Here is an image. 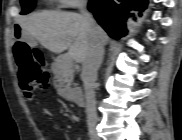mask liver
<instances>
[{
	"label": "liver",
	"instance_id": "obj_1",
	"mask_svg": "<svg viewBox=\"0 0 182 140\" xmlns=\"http://www.w3.org/2000/svg\"><path fill=\"white\" fill-rule=\"evenodd\" d=\"M23 40L36 39L53 53L68 54L81 63L90 50V32L78 13L42 11L33 13L19 21ZM95 35L102 43L109 41L107 33L94 23Z\"/></svg>",
	"mask_w": 182,
	"mask_h": 140
}]
</instances>
